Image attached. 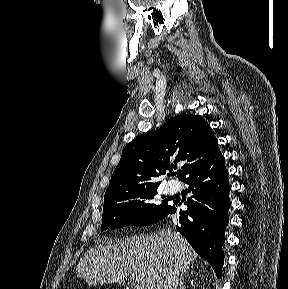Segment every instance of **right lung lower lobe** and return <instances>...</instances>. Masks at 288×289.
<instances>
[{
    "label": "right lung lower lobe",
    "mask_w": 288,
    "mask_h": 289,
    "mask_svg": "<svg viewBox=\"0 0 288 289\" xmlns=\"http://www.w3.org/2000/svg\"><path fill=\"white\" fill-rule=\"evenodd\" d=\"M184 182L193 193L192 198L185 202L188 209L182 211L178 208L180 203L175 202L163 218L175 213L179 215L177 230L220 276L224 264V230L229 222L230 207L228 171L221 152L191 173Z\"/></svg>",
    "instance_id": "98d812e1"
}]
</instances>
